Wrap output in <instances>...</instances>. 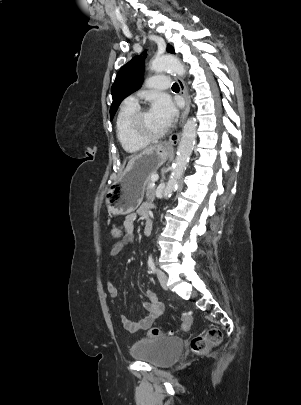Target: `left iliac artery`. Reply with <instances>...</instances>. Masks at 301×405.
<instances>
[{
	"label": "left iliac artery",
	"instance_id": "1",
	"mask_svg": "<svg viewBox=\"0 0 301 405\" xmlns=\"http://www.w3.org/2000/svg\"><path fill=\"white\" fill-rule=\"evenodd\" d=\"M148 266L151 268L152 272L155 271V264H154L153 257L151 254L149 255V258H148Z\"/></svg>",
	"mask_w": 301,
	"mask_h": 405
}]
</instances>
